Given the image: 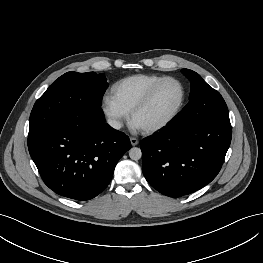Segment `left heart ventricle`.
Listing matches in <instances>:
<instances>
[{"mask_svg":"<svg viewBox=\"0 0 263 263\" xmlns=\"http://www.w3.org/2000/svg\"><path fill=\"white\" fill-rule=\"evenodd\" d=\"M182 97V89L175 81H166L154 94L150 103L135 117L140 128L149 127L169 117L178 107Z\"/></svg>","mask_w":263,"mask_h":263,"instance_id":"b2bd125f","label":"left heart ventricle"}]
</instances>
